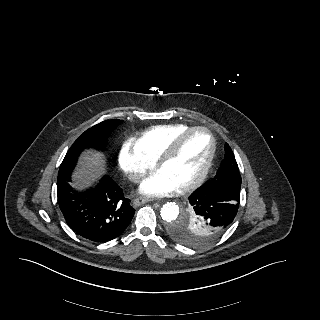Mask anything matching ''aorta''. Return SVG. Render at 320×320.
<instances>
[{
    "label": "aorta",
    "mask_w": 320,
    "mask_h": 320,
    "mask_svg": "<svg viewBox=\"0 0 320 320\" xmlns=\"http://www.w3.org/2000/svg\"><path fill=\"white\" fill-rule=\"evenodd\" d=\"M161 217L166 222H172L177 219L179 215V207L174 202H168L161 208Z\"/></svg>",
    "instance_id": "aorta-1"
}]
</instances>
